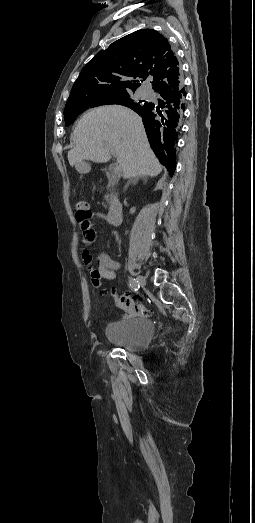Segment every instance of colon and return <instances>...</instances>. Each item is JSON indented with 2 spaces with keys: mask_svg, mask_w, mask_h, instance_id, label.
<instances>
[{
  "mask_svg": "<svg viewBox=\"0 0 255 523\" xmlns=\"http://www.w3.org/2000/svg\"><path fill=\"white\" fill-rule=\"evenodd\" d=\"M91 216V212L89 210V204L86 201H80L76 205V219L77 221L81 223H85L89 221V218ZM98 277L95 275H92L93 283L97 286L98 283ZM115 304L120 307L121 309L133 313L136 315L145 316L148 314L147 308L136 298H131L127 295H113Z\"/></svg>",
  "mask_w": 255,
  "mask_h": 523,
  "instance_id": "5ec220e1",
  "label": "colon"
}]
</instances>
